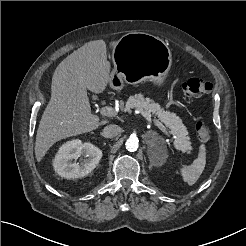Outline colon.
Returning <instances> with one entry per match:
<instances>
[{
    "label": "colon",
    "mask_w": 246,
    "mask_h": 246,
    "mask_svg": "<svg viewBox=\"0 0 246 246\" xmlns=\"http://www.w3.org/2000/svg\"><path fill=\"white\" fill-rule=\"evenodd\" d=\"M213 89V84L202 78H190L183 83L185 94L193 98H201ZM198 137L201 141H208L211 137L210 126L199 121L196 124Z\"/></svg>",
    "instance_id": "colon-1"
}]
</instances>
